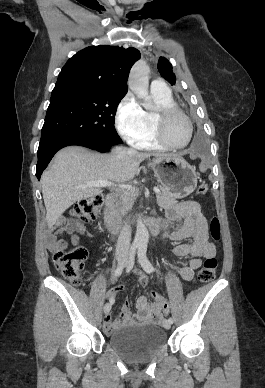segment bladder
Instances as JSON below:
<instances>
[{
	"label": "bladder",
	"mask_w": 265,
	"mask_h": 388,
	"mask_svg": "<svg viewBox=\"0 0 265 388\" xmlns=\"http://www.w3.org/2000/svg\"><path fill=\"white\" fill-rule=\"evenodd\" d=\"M167 334L158 325L121 328L109 336L108 347L131 361H144L165 346Z\"/></svg>",
	"instance_id": "obj_1"
}]
</instances>
